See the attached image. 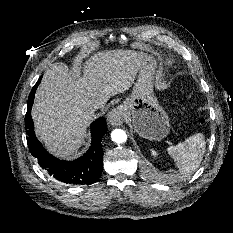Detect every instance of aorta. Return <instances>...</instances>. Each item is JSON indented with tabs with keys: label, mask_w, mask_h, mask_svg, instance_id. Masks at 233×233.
Wrapping results in <instances>:
<instances>
[{
	"label": "aorta",
	"mask_w": 233,
	"mask_h": 233,
	"mask_svg": "<svg viewBox=\"0 0 233 233\" xmlns=\"http://www.w3.org/2000/svg\"><path fill=\"white\" fill-rule=\"evenodd\" d=\"M111 138L115 143H124L127 140V134L122 129H114L111 133Z\"/></svg>",
	"instance_id": "762f6f07"
}]
</instances>
